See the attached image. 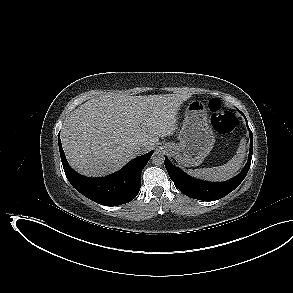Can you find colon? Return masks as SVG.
I'll use <instances>...</instances> for the list:
<instances>
[{
    "mask_svg": "<svg viewBox=\"0 0 293 293\" xmlns=\"http://www.w3.org/2000/svg\"><path fill=\"white\" fill-rule=\"evenodd\" d=\"M211 111V124L220 133H230L238 126L237 117L222 107L221 102L214 98L209 101Z\"/></svg>",
    "mask_w": 293,
    "mask_h": 293,
    "instance_id": "5ec220e1",
    "label": "colon"
}]
</instances>
